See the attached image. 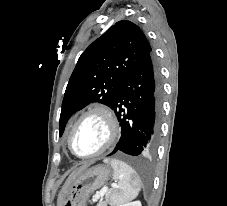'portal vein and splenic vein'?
Listing matches in <instances>:
<instances>
[{
    "mask_svg": "<svg viewBox=\"0 0 227 206\" xmlns=\"http://www.w3.org/2000/svg\"><path fill=\"white\" fill-rule=\"evenodd\" d=\"M112 187H116V184H112ZM107 190V188H105L100 194H97L95 196L96 199H98L99 197H102L104 195V192Z\"/></svg>",
    "mask_w": 227,
    "mask_h": 206,
    "instance_id": "1",
    "label": "portal vein and splenic vein"
}]
</instances>
